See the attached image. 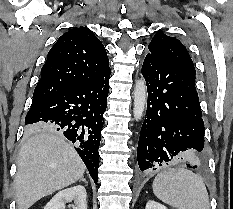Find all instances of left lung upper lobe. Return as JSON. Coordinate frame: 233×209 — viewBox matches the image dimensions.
I'll list each match as a JSON object with an SVG mask.
<instances>
[{
  "mask_svg": "<svg viewBox=\"0 0 233 209\" xmlns=\"http://www.w3.org/2000/svg\"><path fill=\"white\" fill-rule=\"evenodd\" d=\"M151 55L166 62L181 66L196 74L193 61L186 47L176 38L170 37L159 30L150 42Z\"/></svg>",
  "mask_w": 233,
  "mask_h": 209,
  "instance_id": "5c2ea615",
  "label": "left lung upper lobe"
}]
</instances>
